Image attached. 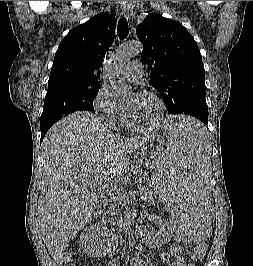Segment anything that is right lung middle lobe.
Listing matches in <instances>:
<instances>
[{"mask_svg":"<svg viewBox=\"0 0 253 266\" xmlns=\"http://www.w3.org/2000/svg\"><path fill=\"white\" fill-rule=\"evenodd\" d=\"M99 87L66 88L47 92L40 129L50 128L62 117L75 111L94 112L93 100L99 92Z\"/></svg>","mask_w":253,"mask_h":266,"instance_id":"dd1d6c3e","label":"right lung middle lobe"}]
</instances>
